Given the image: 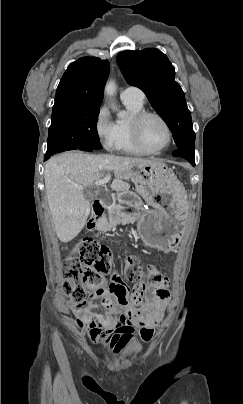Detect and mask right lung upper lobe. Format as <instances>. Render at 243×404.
<instances>
[{"instance_id": "1", "label": "right lung upper lobe", "mask_w": 243, "mask_h": 404, "mask_svg": "<svg viewBox=\"0 0 243 404\" xmlns=\"http://www.w3.org/2000/svg\"><path fill=\"white\" fill-rule=\"evenodd\" d=\"M109 71V62L96 57H84L71 63L58 85L53 108L100 106Z\"/></svg>"}]
</instances>
